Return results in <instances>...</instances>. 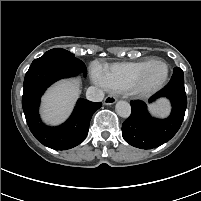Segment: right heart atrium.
I'll list each match as a JSON object with an SVG mask.
<instances>
[{
	"mask_svg": "<svg viewBox=\"0 0 201 201\" xmlns=\"http://www.w3.org/2000/svg\"><path fill=\"white\" fill-rule=\"evenodd\" d=\"M92 78L93 81L100 86L103 89H107V84L103 75L102 70L98 67L95 66L92 70Z\"/></svg>",
	"mask_w": 201,
	"mask_h": 201,
	"instance_id": "right-heart-atrium-1",
	"label": "right heart atrium"
}]
</instances>
